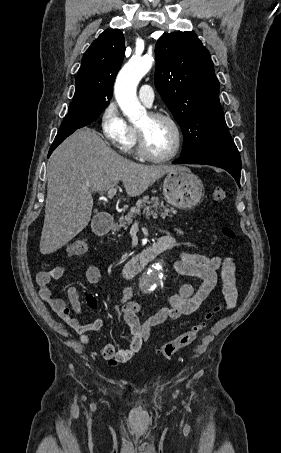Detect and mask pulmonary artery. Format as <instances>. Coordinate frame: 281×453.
Segmentation results:
<instances>
[{"instance_id":"e3ab8cb5","label":"pulmonary artery","mask_w":281,"mask_h":453,"mask_svg":"<svg viewBox=\"0 0 281 453\" xmlns=\"http://www.w3.org/2000/svg\"><path fill=\"white\" fill-rule=\"evenodd\" d=\"M151 89L150 84H143L139 90V95L138 98L141 102H143L145 105L148 107H151L153 100H154V95L151 92H147L148 90Z\"/></svg>"}]
</instances>
